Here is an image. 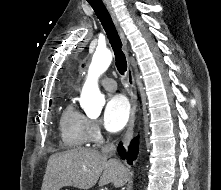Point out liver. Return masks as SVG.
Instances as JSON below:
<instances>
[{"mask_svg":"<svg viewBox=\"0 0 221 190\" xmlns=\"http://www.w3.org/2000/svg\"><path fill=\"white\" fill-rule=\"evenodd\" d=\"M98 180L100 186L112 183L121 187L128 181V171L122 163L108 159L98 150L79 147L49 157L41 190L67 186L85 190Z\"/></svg>","mask_w":221,"mask_h":190,"instance_id":"6515ba94","label":"liver"}]
</instances>
